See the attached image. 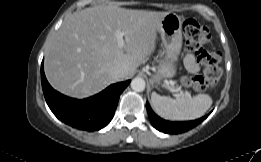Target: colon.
Instances as JSON below:
<instances>
[{
	"instance_id": "obj_1",
	"label": "colon",
	"mask_w": 261,
	"mask_h": 162,
	"mask_svg": "<svg viewBox=\"0 0 261 162\" xmlns=\"http://www.w3.org/2000/svg\"><path fill=\"white\" fill-rule=\"evenodd\" d=\"M183 32L186 47L196 56L203 72L194 77L184 76L181 79L182 85L197 91L213 88L222 76V69L219 66L221 55L204 47L211 38L209 29L193 18H186L183 22Z\"/></svg>"
}]
</instances>
